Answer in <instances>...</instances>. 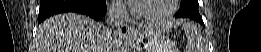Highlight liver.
<instances>
[{
    "mask_svg": "<svg viewBox=\"0 0 261 52\" xmlns=\"http://www.w3.org/2000/svg\"><path fill=\"white\" fill-rule=\"evenodd\" d=\"M110 43L105 38L104 25L84 15L67 13L46 19L39 25L34 52H118L114 50H120L119 41L117 47H115L116 43H113L110 48Z\"/></svg>",
    "mask_w": 261,
    "mask_h": 52,
    "instance_id": "1",
    "label": "liver"
}]
</instances>
